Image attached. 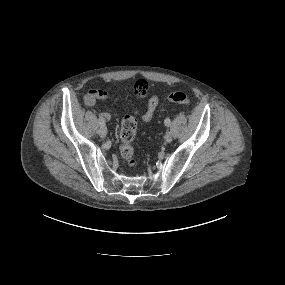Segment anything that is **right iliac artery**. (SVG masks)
<instances>
[{"mask_svg": "<svg viewBox=\"0 0 285 285\" xmlns=\"http://www.w3.org/2000/svg\"><path fill=\"white\" fill-rule=\"evenodd\" d=\"M99 124L100 125H104L105 123H104V121L102 119L99 118Z\"/></svg>", "mask_w": 285, "mask_h": 285, "instance_id": "obj_1", "label": "right iliac artery"}]
</instances>
